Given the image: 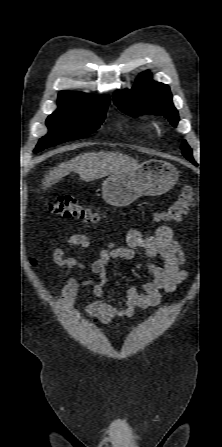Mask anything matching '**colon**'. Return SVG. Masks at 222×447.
<instances>
[{"instance_id":"obj_1","label":"colon","mask_w":222,"mask_h":447,"mask_svg":"<svg viewBox=\"0 0 222 447\" xmlns=\"http://www.w3.org/2000/svg\"><path fill=\"white\" fill-rule=\"evenodd\" d=\"M194 190L192 186H184L178 198L162 213L155 217L158 223L179 222L193 204ZM50 214L62 218H77L86 222H97L100 215L91 204H82L73 196H62L49 205Z\"/></svg>"}]
</instances>
